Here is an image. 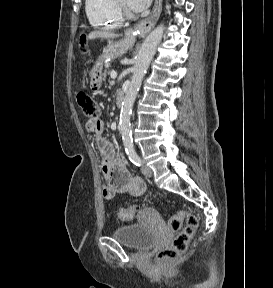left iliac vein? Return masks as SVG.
Returning a JSON list of instances; mask_svg holds the SVG:
<instances>
[{
  "mask_svg": "<svg viewBox=\"0 0 273 288\" xmlns=\"http://www.w3.org/2000/svg\"><path fill=\"white\" fill-rule=\"evenodd\" d=\"M141 171H142V173H143V175H144L145 177H152V174H153V173H152L151 168L143 165V166L141 167Z\"/></svg>",
  "mask_w": 273,
  "mask_h": 288,
  "instance_id": "left-iliac-vein-1",
  "label": "left iliac vein"
}]
</instances>
